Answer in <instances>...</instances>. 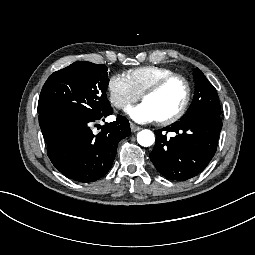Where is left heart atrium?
Listing matches in <instances>:
<instances>
[{"label":"left heart atrium","instance_id":"1","mask_svg":"<svg viewBox=\"0 0 255 255\" xmlns=\"http://www.w3.org/2000/svg\"><path fill=\"white\" fill-rule=\"evenodd\" d=\"M149 109L146 106H142L138 109L137 111V115L140 118H146L149 115Z\"/></svg>","mask_w":255,"mask_h":255}]
</instances>
